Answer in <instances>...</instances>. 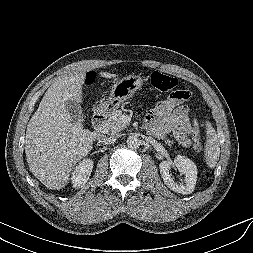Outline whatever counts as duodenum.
<instances>
[{"label": "duodenum", "mask_w": 253, "mask_h": 253, "mask_svg": "<svg viewBox=\"0 0 253 253\" xmlns=\"http://www.w3.org/2000/svg\"><path fill=\"white\" fill-rule=\"evenodd\" d=\"M106 115L103 111H97L92 119V125L94 129V138H97L103 134L105 128Z\"/></svg>", "instance_id": "obj_1"}]
</instances>
